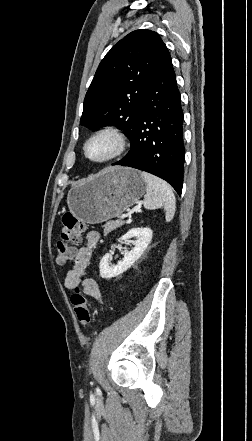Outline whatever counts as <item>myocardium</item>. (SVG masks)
Masks as SVG:
<instances>
[{"mask_svg":"<svg viewBox=\"0 0 252 441\" xmlns=\"http://www.w3.org/2000/svg\"><path fill=\"white\" fill-rule=\"evenodd\" d=\"M100 137L110 138L114 142V148L108 156L100 159H94L90 157L88 154V145L93 140L98 139ZM127 148H128V139L125 133L120 128L113 126H104L97 129L87 138V140L84 142L83 145V154L84 157L92 163L108 164L120 158L126 152Z\"/></svg>","mask_w":252,"mask_h":441,"instance_id":"f54148a6","label":"myocardium"}]
</instances>
